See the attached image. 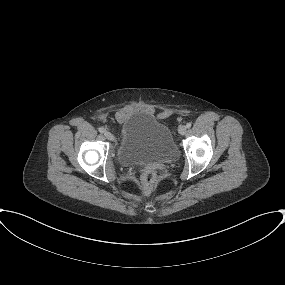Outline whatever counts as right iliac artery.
I'll return each instance as SVG.
<instances>
[{
	"mask_svg": "<svg viewBox=\"0 0 285 285\" xmlns=\"http://www.w3.org/2000/svg\"><path fill=\"white\" fill-rule=\"evenodd\" d=\"M104 131H105V130H104L103 127H100V128H99V132H100V133H104Z\"/></svg>",
	"mask_w": 285,
	"mask_h": 285,
	"instance_id": "obj_1",
	"label": "right iliac artery"
}]
</instances>
